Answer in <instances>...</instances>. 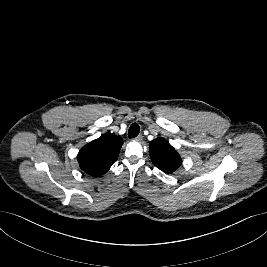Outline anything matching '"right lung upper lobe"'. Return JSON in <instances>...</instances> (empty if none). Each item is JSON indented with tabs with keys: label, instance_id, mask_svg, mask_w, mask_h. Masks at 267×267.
Listing matches in <instances>:
<instances>
[{
	"label": "right lung upper lobe",
	"instance_id": "cb5924a9",
	"mask_svg": "<svg viewBox=\"0 0 267 267\" xmlns=\"http://www.w3.org/2000/svg\"><path fill=\"white\" fill-rule=\"evenodd\" d=\"M123 140L110 133L101 135L81 148L77 159L80 168L91 176L106 173L117 160Z\"/></svg>",
	"mask_w": 267,
	"mask_h": 267
}]
</instances>
